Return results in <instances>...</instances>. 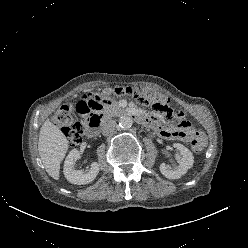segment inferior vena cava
<instances>
[{"instance_id": "602c4592", "label": "inferior vena cava", "mask_w": 248, "mask_h": 248, "mask_svg": "<svg viewBox=\"0 0 248 248\" xmlns=\"http://www.w3.org/2000/svg\"><path fill=\"white\" fill-rule=\"evenodd\" d=\"M116 122L114 120H109L107 122H105L102 126V134L104 136H109L111 134H113L116 130Z\"/></svg>"}]
</instances>
